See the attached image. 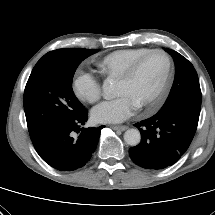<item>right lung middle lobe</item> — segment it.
I'll list each match as a JSON object with an SVG mask.
<instances>
[{"label": "right lung middle lobe", "instance_id": "dd1d6c3e", "mask_svg": "<svg viewBox=\"0 0 215 215\" xmlns=\"http://www.w3.org/2000/svg\"><path fill=\"white\" fill-rule=\"evenodd\" d=\"M98 50L58 49L33 68L24 91V110L31 140L84 112L72 90L78 65Z\"/></svg>", "mask_w": 215, "mask_h": 215}]
</instances>
